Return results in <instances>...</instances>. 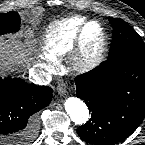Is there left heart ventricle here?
I'll list each match as a JSON object with an SVG mask.
<instances>
[{"label":"left heart ventricle","instance_id":"1","mask_svg":"<svg viewBox=\"0 0 145 145\" xmlns=\"http://www.w3.org/2000/svg\"><path fill=\"white\" fill-rule=\"evenodd\" d=\"M101 40V34L98 26L90 25L85 31L84 41L88 54H93L98 48Z\"/></svg>","mask_w":145,"mask_h":145}]
</instances>
